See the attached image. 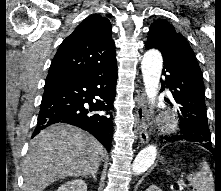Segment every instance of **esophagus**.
<instances>
[{"label":"esophagus","instance_id":"1","mask_svg":"<svg viewBox=\"0 0 221 191\" xmlns=\"http://www.w3.org/2000/svg\"><path fill=\"white\" fill-rule=\"evenodd\" d=\"M136 100V116H137V131L142 144L147 143L149 139L148 125L149 113L147 111L145 91L142 86L137 90Z\"/></svg>","mask_w":221,"mask_h":191}]
</instances>
